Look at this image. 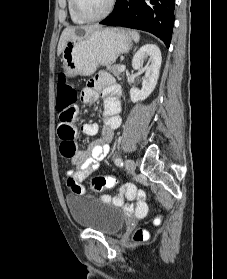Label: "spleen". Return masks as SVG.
Masks as SVG:
<instances>
[{"instance_id":"spleen-1","label":"spleen","mask_w":227,"mask_h":279,"mask_svg":"<svg viewBox=\"0 0 227 279\" xmlns=\"http://www.w3.org/2000/svg\"><path fill=\"white\" fill-rule=\"evenodd\" d=\"M129 34H130V36L132 37V39H133L136 43L139 42V40H140V35H139V33H138L137 31L130 30V31H129Z\"/></svg>"}]
</instances>
